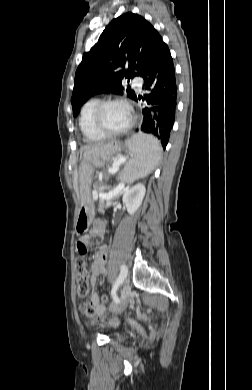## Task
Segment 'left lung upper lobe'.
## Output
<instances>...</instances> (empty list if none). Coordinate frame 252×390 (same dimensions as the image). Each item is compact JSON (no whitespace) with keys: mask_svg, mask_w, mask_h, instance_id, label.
Returning <instances> with one entry per match:
<instances>
[{"mask_svg":"<svg viewBox=\"0 0 252 390\" xmlns=\"http://www.w3.org/2000/svg\"><path fill=\"white\" fill-rule=\"evenodd\" d=\"M162 37L142 16L125 13L115 18L98 42L84 53L76 74L72 95L73 115L93 95L111 92L122 95L124 80L141 76L157 53ZM129 98L137 96L130 88Z\"/></svg>","mask_w":252,"mask_h":390,"instance_id":"left-lung-upper-lobe-1","label":"left lung upper lobe"}]
</instances>
